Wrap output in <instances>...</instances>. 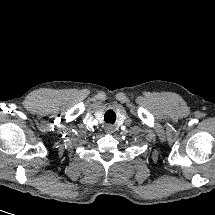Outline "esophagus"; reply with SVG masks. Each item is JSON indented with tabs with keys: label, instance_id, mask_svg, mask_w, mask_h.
Here are the masks:
<instances>
[{
	"label": "esophagus",
	"instance_id": "34e87169",
	"mask_svg": "<svg viewBox=\"0 0 215 215\" xmlns=\"http://www.w3.org/2000/svg\"><path fill=\"white\" fill-rule=\"evenodd\" d=\"M105 131H106L108 134H111V133H113L114 128H113V126L108 125V126L106 127Z\"/></svg>",
	"mask_w": 215,
	"mask_h": 215
}]
</instances>
